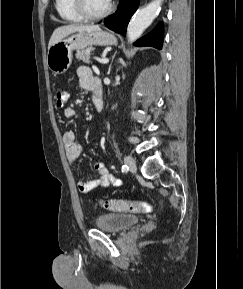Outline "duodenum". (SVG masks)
Instances as JSON below:
<instances>
[{"label": "duodenum", "mask_w": 243, "mask_h": 289, "mask_svg": "<svg viewBox=\"0 0 243 289\" xmlns=\"http://www.w3.org/2000/svg\"><path fill=\"white\" fill-rule=\"evenodd\" d=\"M94 105L97 111H100L103 107V98L101 87H97L93 92Z\"/></svg>", "instance_id": "410a0bca"}]
</instances>
